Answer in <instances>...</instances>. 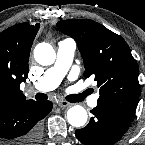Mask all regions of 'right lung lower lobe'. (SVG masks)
<instances>
[{"label":"right lung lower lobe","mask_w":145,"mask_h":145,"mask_svg":"<svg viewBox=\"0 0 145 145\" xmlns=\"http://www.w3.org/2000/svg\"><path fill=\"white\" fill-rule=\"evenodd\" d=\"M51 101H14L0 104V140L8 145H35L41 137V120Z\"/></svg>","instance_id":"right-lung-lower-lobe-1"}]
</instances>
